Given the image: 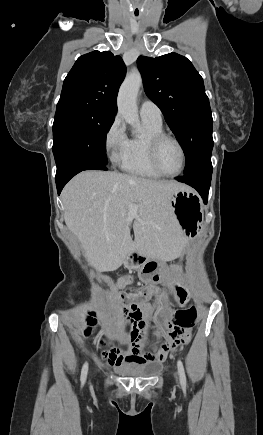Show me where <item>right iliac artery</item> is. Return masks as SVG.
Wrapping results in <instances>:
<instances>
[{
  "instance_id": "obj_1",
  "label": "right iliac artery",
  "mask_w": 263,
  "mask_h": 435,
  "mask_svg": "<svg viewBox=\"0 0 263 435\" xmlns=\"http://www.w3.org/2000/svg\"><path fill=\"white\" fill-rule=\"evenodd\" d=\"M87 372H88V363L86 362L83 365V368H82V371H81V378H80V380H81L82 384H84V382L86 381Z\"/></svg>"
}]
</instances>
